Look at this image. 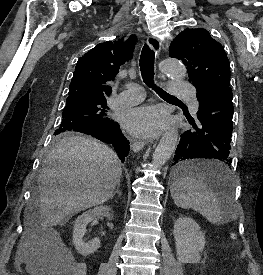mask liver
<instances>
[{
    "label": "liver",
    "instance_id": "1",
    "mask_svg": "<svg viewBox=\"0 0 263 275\" xmlns=\"http://www.w3.org/2000/svg\"><path fill=\"white\" fill-rule=\"evenodd\" d=\"M122 174L116 153L95 139L69 135L48 153L38 177L40 222L52 227L73 214L103 204Z\"/></svg>",
    "mask_w": 263,
    "mask_h": 275
}]
</instances>
